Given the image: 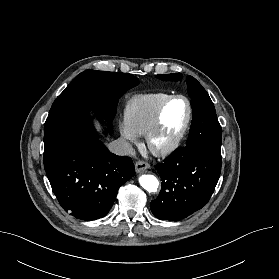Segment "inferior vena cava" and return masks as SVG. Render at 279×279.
<instances>
[{
    "label": "inferior vena cava",
    "mask_w": 279,
    "mask_h": 279,
    "mask_svg": "<svg viewBox=\"0 0 279 279\" xmlns=\"http://www.w3.org/2000/svg\"><path fill=\"white\" fill-rule=\"evenodd\" d=\"M108 149L116 155H135V149L132 147V145L122 138L109 143Z\"/></svg>",
    "instance_id": "1"
}]
</instances>
